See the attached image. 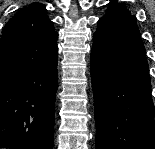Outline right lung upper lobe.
I'll return each mask as SVG.
<instances>
[{"label":"right lung upper lobe","instance_id":"right-lung-upper-lobe-1","mask_svg":"<svg viewBox=\"0 0 155 149\" xmlns=\"http://www.w3.org/2000/svg\"><path fill=\"white\" fill-rule=\"evenodd\" d=\"M57 32L45 6L32 3L5 25L0 39V78L46 63L58 55Z\"/></svg>","mask_w":155,"mask_h":149}]
</instances>
